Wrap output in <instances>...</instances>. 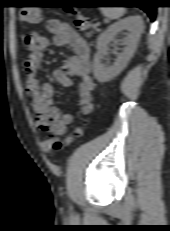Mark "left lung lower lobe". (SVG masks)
Wrapping results in <instances>:
<instances>
[{
  "instance_id": "left-lung-lower-lobe-1",
  "label": "left lung lower lobe",
  "mask_w": 170,
  "mask_h": 231,
  "mask_svg": "<svg viewBox=\"0 0 170 231\" xmlns=\"http://www.w3.org/2000/svg\"><path fill=\"white\" fill-rule=\"evenodd\" d=\"M134 4H138V6L142 10H144L148 16L150 17L151 21L155 20V8L153 0H134Z\"/></svg>"
}]
</instances>
